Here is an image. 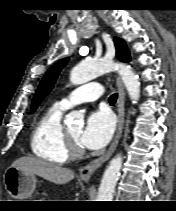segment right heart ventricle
I'll return each mask as SVG.
<instances>
[{
	"label": "right heart ventricle",
	"instance_id": "right-heart-ventricle-1",
	"mask_svg": "<svg viewBox=\"0 0 176 211\" xmlns=\"http://www.w3.org/2000/svg\"><path fill=\"white\" fill-rule=\"evenodd\" d=\"M63 111L59 103L50 106L35 123L30 137V147L36 157L60 165L70 159L61 122Z\"/></svg>",
	"mask_w": 176,
	"mask_h": 211
}]
</instances>
